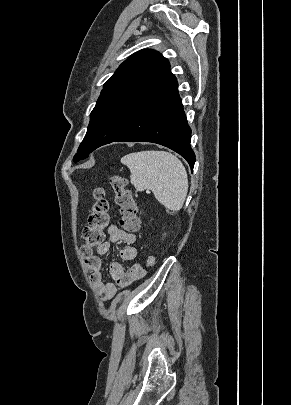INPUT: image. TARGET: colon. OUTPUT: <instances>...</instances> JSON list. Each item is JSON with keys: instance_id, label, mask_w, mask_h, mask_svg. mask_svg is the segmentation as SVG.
Returning a JSON list of instances; mask_svg holds the SVG:
<instances>
[{"instance_id": "colon-1", "label": "colon", "mask_w": 291, "mask_h": 405, "mask_svg": "<svg viewBox=\"0 0 291 405\" xmlns=\"http://www.w3.org/2000/svg\"><path fill=\"white\" fill-rule=\"evenodd\" d=\"M110 185L115 192V201L120 207V225L126 231H136L139 228L138 208L127 188V180L118 174L110 177ZM93 204L88 217V224L83 229L81 253L85 258L92 256L104 241L105 230L109 226V203L105 191L101 187L93 190ZM156 258L149 255L145 261L146 267L155 265Z\"/></svg>"}]
</instances>
